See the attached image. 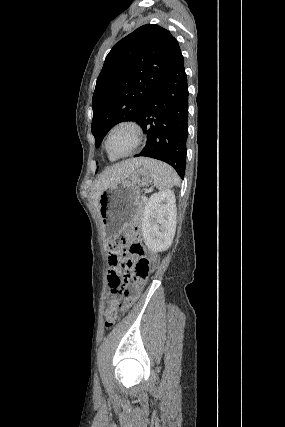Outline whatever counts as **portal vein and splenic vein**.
Returning a JSON list of instances; mask_svg holds the SVG:
<instances>
[{"label":"portal vein and splenic vein","instance_id":"1","mask_svg":"<svg viewBox=\"0 0 285 427\" xmlns=\"http://www.w3.org/2000/svg\"><path fill=\"white\" fill-rule=\"evenodd\" d=\"M142 200L146 201L147 197L146 196H142Z\"/></svg>","mask_w":285,"mask_h":427}]
</instances>
